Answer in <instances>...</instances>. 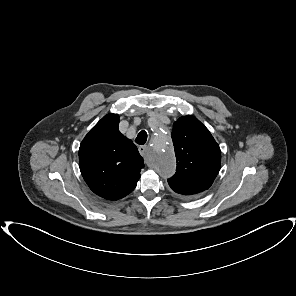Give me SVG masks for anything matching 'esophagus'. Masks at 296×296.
Returning <instances> with one entry per match:
<instances>
[{
    "label": "esophagus",
    "instance_id": "obj_1",
    "mask_svg": "<svg viewBox=\"0 0 296 296\" xmlns=\"http://www.w3.org/2000/svg\"><path fill=\"white\" fill-rule=\"evenodd\" d=\"M138 150L141 156H145L148 151V146L147 145L139 146Z\"/></svg>",
    "mask_w": 296,
    "mask_h": 296
}]
</instances>
